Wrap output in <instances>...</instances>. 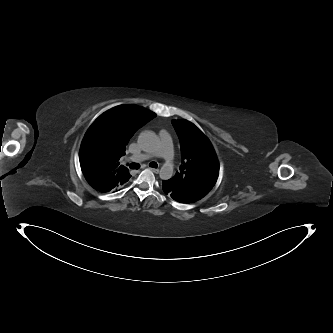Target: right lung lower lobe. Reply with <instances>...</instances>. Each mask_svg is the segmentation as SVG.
Segmentation results:
<instances>
[{
	"mask_svg": "<svg viewBox=\"0 0 333 333\" xmlns=\"http://www.w3.org/2000/svg\"><path fill=\"white\" fill-rule=\"evenodd\" d=\"M81 169H82V172H83L87 182L90 184V186H92L94 189H96L100 192H109L108 190H105L106 189L105 187H102L101 185H99L97 180H95V178H94L95 175L92 174L93 167H91V165L89 163L81 164ZM119 188H121V186ZM119 188H116L111 191H116Z\"/></svg>",
	"mask_w": 333,
	"mask_h": 333,
	"instance_id": "obj_1",
	"label": "right lung lower lobe"
}]
</instances>
